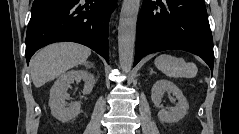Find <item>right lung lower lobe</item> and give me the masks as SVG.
Masks as SVG:
<instances>
[{"instance_id":"obj_1","label":"right lung lower lobe","mask_w":239,"mask_h":134,"mask_svg":"<svg viewBox=\"0 0 239 134\" xmlns=\"http://www.w3.org/2000/svg\"><path fill=\"white\" fill-rule=\"evenodd\" d=\"M117 0H34L26 35V60L59 41L86 45L109 63L108 22Z\"/></svg>"}]
</instances>
